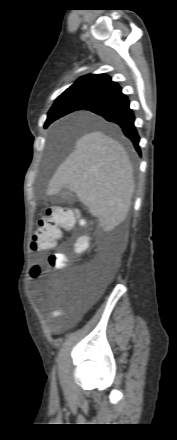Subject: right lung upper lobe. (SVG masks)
Returning a JSON list of instances; mask_svg holds the SVG:
<instances>
[{
  "mask_svg": "<svg viewBox=\"0 0 177 440\" xmlns=\"http://www.w3.org/2000/svg\"><path fill=\"white\" fill-rule=\"evenodd\" d=\"M119 91H121L119 85L106 74H90L78 79L64 93L73 92L98 101ZM53 120H56V117L48 113L46 124Z\"/></svg>",
  "mask_w": 177,
  "mask_h": 440,
  "instance_id": "obj_1",
  "label": "right lung upper lobe"
}]
</instances>
